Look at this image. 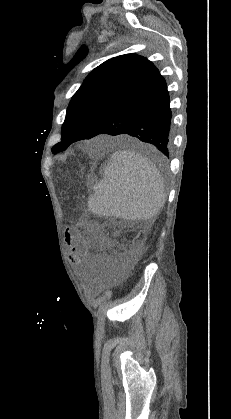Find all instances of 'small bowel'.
<instances>
[{
    "label": "small bowel",
    "mask_w": 231,
    "mask_h": 419,
    "mask_svg": "<svg viewBox=\"0 0 231 419\" xmlns=\"http://www.w3.org/2000/svg\"><path fill=\"white\" fill-rule=\"evenodd\" d=\"M66 242L69 247V258L74 264L83 263L89 255L90 244L82 235L79 227H73L66 231Z\"/></svg>",
    "instance_id": "obj_1"
}]
</instances>
